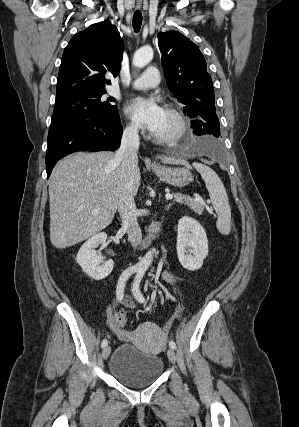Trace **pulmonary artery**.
Instances as JSON below:
<instances>
[{"mask_svg":"<svg viewBox=\"0 0 299 427\" xmlns=\"http://www.w3.org/2000/svg\"><path fill=\"white\" fill-rule=\"evenodd\" d=\"M159 82L160 75L158 69L150 66L140 77L131 83V87L135 89H150L156 87Z\"/></svg>","mask_w":299,"mask_h":427,"instance_id":"obj_1","label":"pulmonary artery"}]
</instances>
